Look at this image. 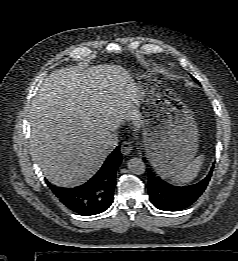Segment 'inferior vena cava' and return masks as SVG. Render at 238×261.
Listing matches in <instances>:
<instances>
[{
    "instance_id": "inferior-vena-cava-1",
    "label": "inferior vena cava",
    "mask_w": 238,
    "mask_h": 261,
    "mask_svg": "<svg viewBox=\"0 0 238 261\" xmlns=\"http://www.w3.org/2000/svg\"><path fill=\"white\" fill-rule=\"evenodd\" d=\"M118 136L115 132H109L104 139V148L111 152L118 145Z\"/></svg>"
}]
</instances>
